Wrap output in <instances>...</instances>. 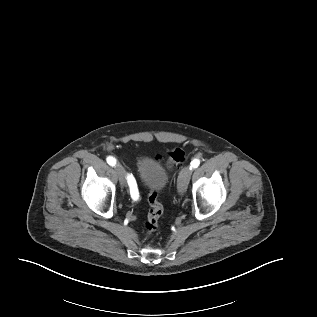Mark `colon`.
Masks as SVG:
<instances>
[{"mask_svg":"<svg viewBox=\"0 0 317 317\" xmlns=\"http://www.w3.org/2000/svg\"><path fill=\"white\" fill-rule=\"evenodd\" d=\"M184 161V152L179 149H173L168 156L167 166L173 168ZM148 201L150 209L147 215V220L145 222V233L150 236L158 228L159 219L163 213V206L158 200V195L155 192H150L148 195Z\"/></svg>","mask_w":317,"mask_h":317,"instance_id":"colon-1","label":"colon"}]
</instances>
